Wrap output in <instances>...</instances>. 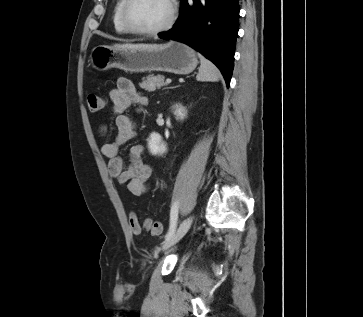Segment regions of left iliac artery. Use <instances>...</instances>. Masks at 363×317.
<instances>
[{"label": "left iliac artery", "mask_w": 363, "mask_h": 317, "mask_svg": "<svg viewBox=\"0 0 363 317\" xmlns=\"http://www.w3.org/2000/svg\"><path fill=\"white\" fill-rule=\"evenodd\" d=\"M177 219H178V202L173 203L170 212V227L169 231L166 235V240H168L175 232L177 227Z\"/></svg>", "instance_id": "left-iliac-artery-1"}]
</instances>
